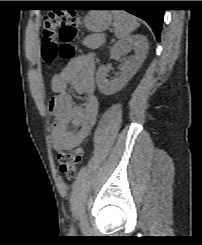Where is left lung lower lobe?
Segmentation results:
<instances>
[{
    "label": "left lung lower lobe",
    "mask_w": 202,
    "mask_h": 245,
    "mask_svg": "<svg viewBox=\"0 0 202 245\" xmlns=\"http://www.w3.org/2000/svg\"><path fill=\"white\" fill-rule=\"evenodd\" d=\"M111 7H125L126 11L143 19L152 28L156 38H160L164 10L159 8H149L152 1H105Z\"/></svg>",
    "instance_id": "1"
}]
</instances>
